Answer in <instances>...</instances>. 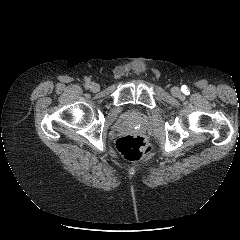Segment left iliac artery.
Returning <instances> with one entry per match:
<instances>
[{"label": "left iliac artery", "instance_id": "1", "mask_svg": "<svg viewBox=\"0 0 240 240\" xmlns=\"http://www.w3.org/2000/svg\"><path fill=\"white\" fill-rule=\"evenodd\" d=\"M182 92L185 93V94L189 93V92L187 91V87H186V86H182Z\"/></svg>", "mask_w": 240, "mask_h": 240}]
</instances>
